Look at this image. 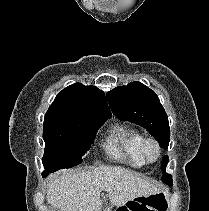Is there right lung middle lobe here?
<instances>
[{
    "label": "right lung middle lobe",
    "mask_w": 209,
    "mask_h": 211,
    "mask_svg": "<svg viewBox=\"0 0 209 211\" xmlns=\"http://www.w3.org/2000/svg\"><path fill=\"white\" fill-rule=\"evenodd\" d=\"M107 119L44 124L43 139L46 147L42 161L45 176L60 168H71L82 163V156L88 151L95 133Z\"/></svg>",
    "instance_id": "obj_1"
}]
</instances>
